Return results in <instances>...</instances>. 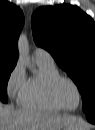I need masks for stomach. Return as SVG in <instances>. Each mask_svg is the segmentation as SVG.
<instances>
[{"label": "stomach", "mask_w": 95, "mask_h": 130, "mask_svg": "<svg viewBox=\"0 0 95 130\" xmlns=\"http://www.w3.org/2000/svg\"><path fill=\"white\" fill-rule=\"evenodd\" d=\"M83 124L76 122V123H70L61 128V130H85L83 129Z\"/></svg>", "instance_id": "stomach-1"}]
</instances>
